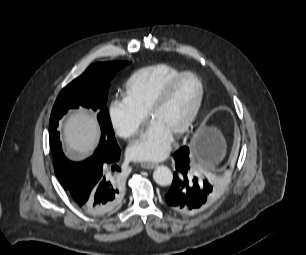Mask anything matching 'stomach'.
Returning a JSON list of instances; mask_svg holds the SVG:
<instances>
[{"mask_svg":"<svg viewBox=\"0 0 306 255\" xmlns=\"http://www.w3.org/2000/svg\"><path fill=\"white\" fill-rule=\"evenodd\" d=\"M194 160L210 165L217 164L224 155V140L213 127L202 126L192 141Z\"/></svg>","mask_w":306,"mask_h":255,"instance_id":"0dacf381","label":"stomach"}]
</instances>
